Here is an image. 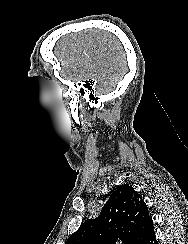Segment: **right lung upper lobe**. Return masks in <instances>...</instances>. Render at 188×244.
I'll list each match as a JSON object with an SVG mask.
<instances>
[{"mask_svg": "<svg viewBox=\"0 0 188 244\" xmlns=\"http://www.w3.org/2000/svg\"><path fill=\"white\" fill-rule=\"evenodd\" d=\"M153 220L140 195L128 185L119 186L100 215L85 221L65 244H141Z\"/></svg>", "mask_w": 188, "mask_h": 244, "instance_id": "obj_1", "label": "right lung upper lobe"}]
</instances>
